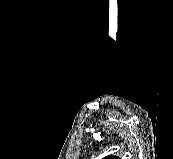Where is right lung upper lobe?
I'll return each instance as SVG.
<instances>
[{
	"mask_svg": "<svg viewBox=\"0 0 173 159\" xmlns=\"http://www.w3.org/2000/svg\"><path fill=\"white\" fill-rule=\"evenodd\" d=\"M103 159H119V157H116V156H107V157H104Z\"/></svg>",
	"mask_w": 173,
	"mask_h": 159,
	"instance_id": "right-lung-upper-lobe-1",
	"label": "right lung upper lobe"
}]
</instances>
